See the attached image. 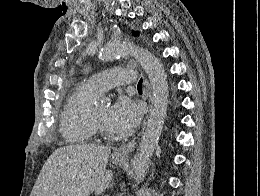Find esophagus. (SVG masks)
Instances as JSON below:
<instances>
[{
    "label": "esophagus",
    "instance_id": "34e87169",
    "mask_svg": "<svg viewBox=\"0 0 260 196\" xmlns=\"http://www.w3.org/2000/svg\"><path fill=\"white\" fill-rule=\"evenodd\" d=\"M144 87L147 92L149 100H151V86L147 79L144 80ZM137 146L136 139L130 141L129 143L120 146L113 152V159H126L129 153H131Z\"/></svg>",
    "mask_w": 260,
    "mask_h": 196
}]
</instances>
